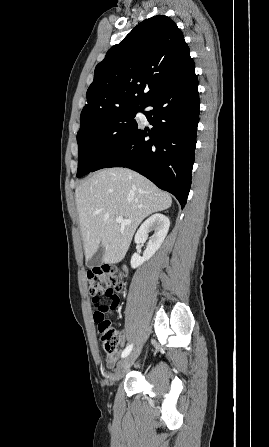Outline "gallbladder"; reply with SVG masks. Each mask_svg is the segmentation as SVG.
<instances>
[{
	"label": "gallbladder",
	"instance_id": "gallbladder-1",
	"mask_svg": "<svg viewBox=\"0 0 269 447\" xmlns=\"http://www.w3.org/2000/svg\"><path fill=\"white\" fill-rule=\"evenodd\" d=\"M104 253H105V247H103V245H99L93 257H91L89 261H86L87 267H98V265H102Z\"/></svg>",
	"mask_w": 269,
	"mask_h": 447
}]
</instances>
